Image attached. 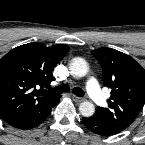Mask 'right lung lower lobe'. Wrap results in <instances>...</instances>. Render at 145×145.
Listing matches in <instances>:
<instances>
[{"label":"right lung lower lobe","instance_id":"right-lung-lower-lobe-1","mask_svg":"<svg viewBox=\"0 0 145 145\" xmlns=\"http://www.w3.org/2000/svg\"><path fill=\"white\" fill-rule=\"evenodd\" d=\"M58 103H59V100L52 103L51 105L44 108L43 110H41L38 113L19 117L15 120L9 122L8 124L14 128L20 129V130H28V129L37 127L38 125H40L41 123H43L46 120V118L50 114L52 108L54 106H56Z\"/></svg>","mask_w":145,"mask_h":145}]
</instances>
